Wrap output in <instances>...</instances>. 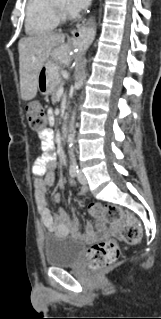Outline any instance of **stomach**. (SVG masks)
<instances>
[{"label": "stomach", "instance_id": "obj_1", "mask_svg": "<svg viewBox=\"0 0 161 319\" xmlns=\"http://www.w3.org/2000/svg\"><path fill=\"white\" fill-rule=\"evenodd\" d=\"M68 50L67 45L55 48L38 75V90L49 95L60 81L59 70L65 64V56Z\"/></svg>", "mask_w": 161, "mask_h": 319}]
</instances>
